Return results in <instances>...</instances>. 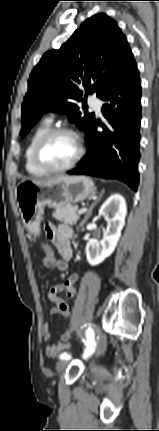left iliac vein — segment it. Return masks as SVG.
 Returning <instances> with one entry per match:
<instances>
[{
  "label": "left iliac vein",
  "mask_w": 159,
  "mask_h": 431,
  "mask_svg": "<svg viewBox=\"0 0 159 431\" xmlns=\"http://www.w3.org/2000/svg\"><path fill=\"white\" fill-rule=\"evenodd\" d=\"M103 349H104V338L101 334H99L96 356H100L103 352ZM67 364H68V362L66 359L60 360L56 365L57 373L59 374V373L63 372L65 370Z\"/></svg>",
  "instance_id": "4c4485c4"
}]
</instances>
